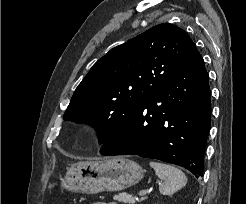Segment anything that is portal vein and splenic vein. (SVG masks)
<instances>
[{
	"mask_svg": "<svg viewBox=\"0 0 246 204\" xmlns=\"http://www.w3.org/2000/svg\"><path fill=\"white\" fill-rule=\"evenodd\" d=\"M149 192V190H142L139 192V196L146 195Z\"/></svg>",
	"mask_w": 246,
	"mask_h": 204,
	"instance_id": "obj_1",
	"label": "portal vein and splenic vein"
}]
</instances>
